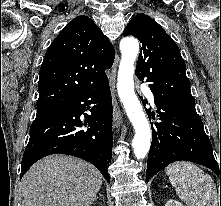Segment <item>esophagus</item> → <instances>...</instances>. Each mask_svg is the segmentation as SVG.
<instances>
[{"label": "esophagus", "instance_id": "34e87169", "mask_svg": "<svg viewBox=\"0 0 221 206\" xmlns=\"http://www.w3.org/2000/svg\"><path fill=\"white\" fill-rule=\"evenodd\" d=\"M118 61H119V57L116 56L114 66L112 68V76H111V79H110L113 93L115 91L116 71H117ZM113 121H114L115 127H117V128L122 123V118L120 116L119 111L116 108H114V112H113Z\"/></svg>", "mask_w": 221, "mask_h": 206}]
</instances>
